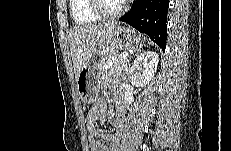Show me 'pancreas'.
Wrapping results in <instances>:
<instances>
[{"mask_svg":"<svg viewBox=\"0 0 231 151\" xmlns=\"http://www.w3.org/2000/svg\"><path fill=\"white\" fill-rule=\"evenodd\" d=\"M127 69V59L122 57V54H113L105 63V66L101 70L102 77L118 74Z\"/></svg>","mask_w":231,"mask_h":151,"instance_id":"obj_1","label":"pancreas"}]
</instances>
